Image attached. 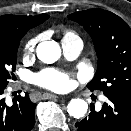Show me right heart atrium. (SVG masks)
<instances>
[{"mask_svg":"<svg viewBox=\"0 0 131 131\" xmlns=\"http://www.w3.org/2000/svg\"><path fill=\"white\" fill-rule=\"evenodd\" d=\"M37 41V37H32L25 42L23 47V53L25 56L30 55L34 51Z\"/></svg>","mask_w":131,"mask_h":131,"instance_id":"1","label":"right heart atrium"}]
</instances>
